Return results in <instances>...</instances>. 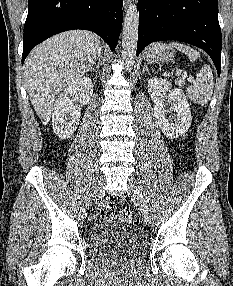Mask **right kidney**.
<instances>
[{"instance_id": "1", "label": "right kidney", "mask_w": 233, "mask_h": 286, "mask_svg": "<svg viewBox=\"0 0 233 286\" xmlns=\"http://www.w3.org/2000/svg\"><path fill=\"white\" fill-rule=\"evenodd\" d=\"M92 94L91 79L80 77L58 96L52 108V126L59 138L67 139L73 135L79 124L81 107L89 102ZM75 101L79 105H74Z\"/></svg>"}]
</instances>
